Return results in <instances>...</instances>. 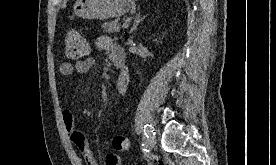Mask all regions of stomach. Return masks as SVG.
Listing matches in <instances>:
<instances>
[{
    "label": "stomach",
    "instance_id": "stomach-1",
    "mask_svg": "<svg viewBox=\"0 0 276 165\" xmlns=\"http://www.w3.org/2000/svg\"><path fill=\"white\" fill-rule=\"evenodd\" d=\"M134 8V0H77L73 13L83 19L120 17Z\"/></svg>",
    "mask_w": 276,
    "mask_h": 165
}]
</instances>
